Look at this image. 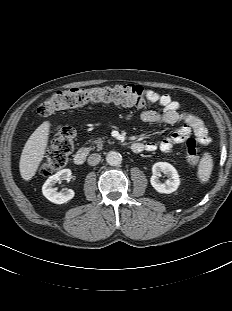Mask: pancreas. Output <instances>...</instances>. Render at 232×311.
<instances>
[{
  "label": "pancreas",
  "instance_id": "1",
  "mask_svg": "<svg viewBox=\"0 0 232 311\" xmlns=\"http://www.w3.org/2000/svg\"><path fill=\"white\" fill-rule=\"evenodd\" d=\"M94 144H96L97 145V148H98V150H101L102 149V147H103V140L100 138V139H98V140H94V141H92ZM95 147H93V148H90V149H94Z\"/></svg>",
  "mask_w": 232,
  "mask_h": 311
}]
</instances>
